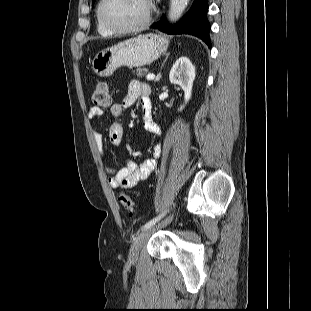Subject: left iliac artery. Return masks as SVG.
<instances>
[{
	"mask_svg": "<svg viewBox=\"0 0 311 311\" xmlns=\"http://www.w3.org/2000/svg\"><path fill=\"white\" fill-rule=\"evenodd\" d=\"M166 211L161 213L160 215H158L157 217L151 219L150 221H148L143 227L142 230H146L148 228H150L151 226L155 225L156 222H158L164 215H165Z\"/></svg>",
	"mask_w": 311,
	"mask_h": 311,
	"instance_id": "obj_1",
	"label": "left iliac artery"
}]
</instances>
